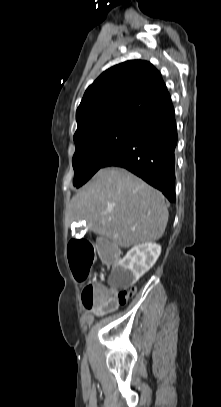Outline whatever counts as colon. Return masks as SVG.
Returning <instances> with one entry per match:
<instances>
[{"label": "colon", "instance_id": "1", "mask_svg": "<svg viewBox=\"0 0 221 407\" xmlns=\"http://www.w3.org/2000/svg\"><path fill=\"white\" fill-rule=\"evenodd\" d=\"M99 239L102 241V246L97 247V254L102 255L105 267L111 268L114 261H119L122 248L115 246L114 240H105L103 235ZM68 255L75 278L80 282H85L96 256L94 245L86 239H73L69 243ZM134 293L135 291H111L101 284L88 283L83 288L82 301L87 309H94L98 313H108L126 303Z\"/></svg>", "mask_w": 221, "mask_h": 407}]
</instances>
